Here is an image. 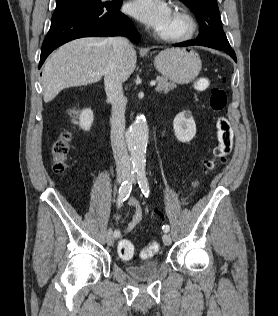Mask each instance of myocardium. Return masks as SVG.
<instances>
[{"instance_id":"myocardium-1","label":"myocardium","mask_w":278,"mask_h":316,"mask_svg":"<svg viewBox=\"0 0 278 316\" xmlns=\"http://www.w3.org/2000/svg\"><path fill=\"white\" fill-rule=\"evenodd\" d=\"M171 12L180 20L181 28L175 32L157 30L155 33L156 37L170 43H179L190 40L197 29V24L193 15L182 5H174Z\"/></svg>"}]
</instances>
